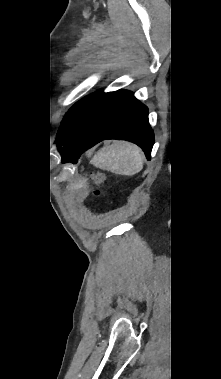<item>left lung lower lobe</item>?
Returning <instances> with one entry per match:
<instances>
[{
    "instance_id": "left-lung-lower-lobe-1",
    "label": "left lung lower lobe",
    "mask_w": 221,
    "mask_h": 379,
    "mask_svg": "<svg viewBox=\"0 0 221 379\" xmlns=\"http://www.w3.org/2000/svg\"><path fill=\"white\" fill-rule=\"evenodd\" d=\"M105 139H123L138 144L150 159L154 143L147 107L130 91L102 94L60 149L63 162H76L88 148Z\"/></svg>"
}]
</instances>
